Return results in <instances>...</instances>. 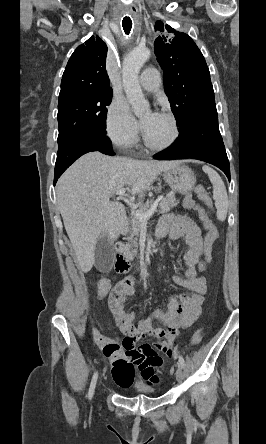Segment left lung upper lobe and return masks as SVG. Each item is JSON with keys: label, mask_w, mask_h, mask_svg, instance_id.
Wrapping results in <instances>:
<instances>
[{"label": "left lung upper lobe", "mask_w": 266, "mask_h": 444, "mask_svg": "<svg viewBox=\"0 0 266 444\" xmlns=\"http://www.w3.org/2000/svg\"><path fill=\"white\" fill-rule=\"evenodd\" d=\"M174 33L159 36L154 43L157 60L164 71L163 82L171 110L181 127L195 114L216 109L210 72L205 59L185 33L157 21L155 30Z\"/></svg>", "instance_id": "obj_1"}]
</instances>
